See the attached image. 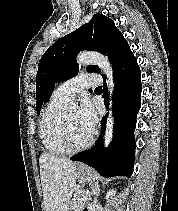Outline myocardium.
Listing matches in <instances>:
<instances>
[{"instance_id": "obj_1", "label": "myocardium", "mask_w": 178, "mask_h": 211, "mask_svg": "<svg viewBox=\"0 0 178 211\" xmlns=\"http://www.w3.org/2000/svg\"><path fill=\"white\" fill-rule=\"evenodd\" d=\"M61 128H62L61 129V143L63 147L67 150V152L76 153V152L83 151L89 148L94 142L95 134L91 133V136L84 144L80 146L73 145L71 141V137H70L68 118L66 114L63 116Z\"/></svg>"}]
</instances>
